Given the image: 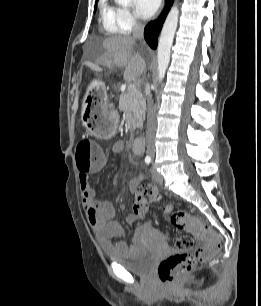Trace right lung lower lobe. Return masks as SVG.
Listing matches in <instances>:
<instances>
[{
  "mask_svg": "<svg viewBox=\"0 0 261 306\" xmlns=\"http://www.w3.org/2000/svg\"><path fill=\"white\" fill-rule=\"evenodd\" d=\"M165 1H166V6H165V9H164L163 13L161 14V16L158 18L157 21L150 22L144 29V37H145L147 43L153 49H155L156 46H157L158 33H159L160 29L162 28V24L165 20V17L167 15L168 11L170 10V7L173 3V0H165Z\"/></svg>",
  "mask_w": 261,
  "mask_h": 306,
  "instance_id": "obj_1",
  "label": "right lung lower lobe"
}]
</instances>
